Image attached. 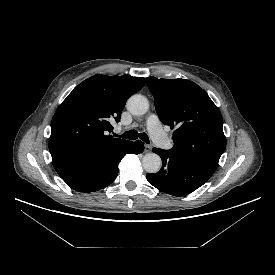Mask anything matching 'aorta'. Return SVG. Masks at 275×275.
<instances>
[{"label":"aorta","instance_id":"obj_1","mask_svg":"<svg viewBox=\"0 0 275 275\" xmlns=\"http://www.w3.org/2000/svg\"><path fill=\"white\" fill-rule=\"evenodd\" d=\"M149 109L146 97L135 94L127 101V110L133 115H143ZM161 158L156 153H147L142 158V165L146 172L157 173L161 168Z\"/></svg>","mask_w":275,"mask_h":275}]
</instances>
